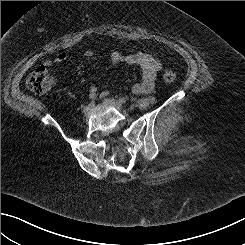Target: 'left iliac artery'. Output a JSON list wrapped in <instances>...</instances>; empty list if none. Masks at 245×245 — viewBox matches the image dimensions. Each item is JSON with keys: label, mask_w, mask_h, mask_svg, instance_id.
<instances>
[{"label": "left iliac artery", "mask_w": 245, "mask_h": 245, "mask_svg": "<svg viewBox=\"0 0 245 245\" xmlns=\"http://www.w3.org/2000/svg\"><path fill=\"white\" fill-rule=\"evenodd\" d=\"M118 101H119L120 103H122V104H126V103H127V99H126L125 97H120V98L118 99Z\"/></svg>", "instance_id": "44dca946"}]
</instances>
